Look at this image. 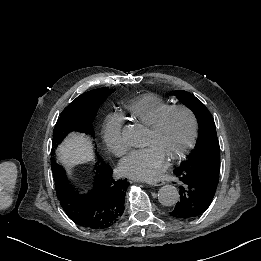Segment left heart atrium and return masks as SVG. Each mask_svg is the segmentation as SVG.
I'll return each mask as SVG.
<instances>
[{
  "mask_svg": "<svg viewBox=\"0 0 261 261\" xmlns=\"http://www.w3.org/2000/svg\"><path fill=\"white\" fill-rule=\"evenodd\" d=\"M165 168L166 158L154 144L131 149L120 163V170L125 175L141 180H155Z\"/></svg>",
  "mask_w": 261,
  "mask_h": 261,
  "instance_id": "left-heart-atrium-1",
  "label": "left heart atrium"
}]
</instances>
